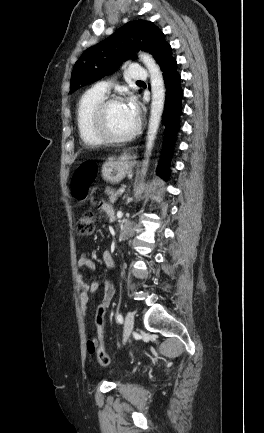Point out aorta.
Listing matches in <instances>:
<instances>
[{"mask_svg": "<svg viewBox=\"0 0 264 433\" xmlns=\"http://www.w3.org/2000/svg\"><path fill=\"white\" fill-rule=\"evenodd\" d=\"M139 57L149 71L152 92L150 118L146 136L145 160L143 161L142 168V173L145 175L163 113L165 103V85L162 72L152 56L146 53H140Z\"/></svg>", "mask_w": 264, "mask_h": 433, "instance_id": "762f6f07", "label": "aorta"}]
</instances>
